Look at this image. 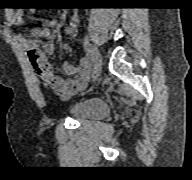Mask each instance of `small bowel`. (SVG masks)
Masks as SVG:
<instances>
[{"mask_svg": "<svg viewBox=\"0 0 192 180\" xmlns=\"http://www.w3.org/2000/svg\"><path fill=\"white\" fill-rule=\"evenodd\" d=\"M23 15L22 10L16 11L12 16V23L21 25L23 23ZM79 23V16L77 13H73L65 28V34L69 37H76ZM56 25V20H50L46 26L33 29L31 38L22 40V44L28 52L29 61L33 69L45 82L48 89L58 98L66 100L86 87L90 76V62L87 58H83L78 65L65 64L63 71L69 76L67 79L54 74L46 55H51L55 50L51 28Z\"/></svg>", "mask_w": 192, "mask_h": 180, "instance_id": "small-bowel-1", "label": "small bowel"}]
</instances>
